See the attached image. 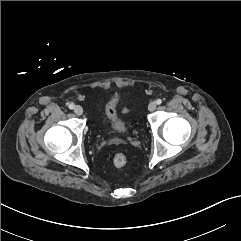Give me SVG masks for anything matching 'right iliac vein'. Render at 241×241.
Masks as SVG:
<instances>
[{
  "label": "right iliac vein",
  "mask_w": 241,
  "mask_h": 241,
  "mask_svg": "<svg viewBox=\"0 0 241 241\" xmlns=\"http://www.w3.org/2000/svg\"><path fill=\"white\" fill-rule=\"evenodd\" d=\"M74 112L76 115L80 116L83 114V108L80 105H76L74 108Z\"/></svg>",
  "instance_id": "63e3f726"
}]
</instances>
